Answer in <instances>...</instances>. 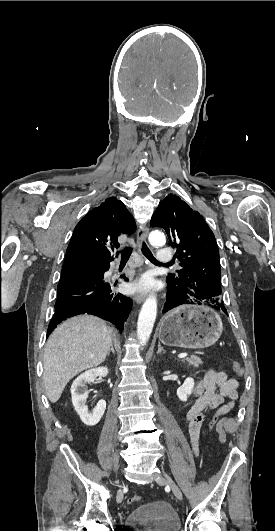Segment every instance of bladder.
Segmentation results:
<instances>
[{"mask_svg": "<svg viewBox=\"0 0 275 531\" xmlns=\"http://www.w3.org/2000/svg\"><path fill=\"white\" fill-rule=\"evenodd\" d=\"M128 528L135 531H180L181 523L173 507L163 501H152L133 508Z\"/></svg>", "mask_w": 275, "mask_h": 531, "instance_id": "bladder-1", "label": "bladder"}]
</instances>
